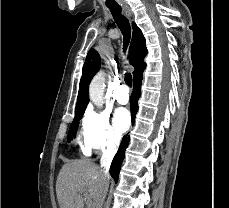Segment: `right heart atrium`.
I'll use <instances>...</instances> for the list:
<instances>
[{"label": "right heart atrium", "instance_id": "obj_1", "mask_svg": "<svg viewBox=\"0 0 229 208\" xmlns=\"http://www.w3.org/2000/svg\"><path fill=\"white\" fill-rule=\"evenodd\" d=\"M80 133L83 150L87 154L115 148L121 141L110 123L109 114L95 108L85 111Z\"/></svg>", "mask_w": 229, "mask_h": 208}]
</instances>
